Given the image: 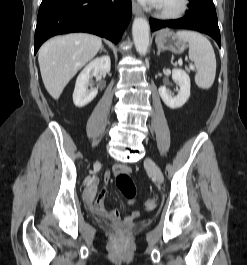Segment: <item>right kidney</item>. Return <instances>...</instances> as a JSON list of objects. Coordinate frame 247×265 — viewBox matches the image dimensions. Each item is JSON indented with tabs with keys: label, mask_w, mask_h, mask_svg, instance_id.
Listing matches in <instances>:
<instances>
[{
	"label": "right kidney",
	"mask_w": 247,
	"mask_h": 265,
	"mask_svg": "<svg viewBox=\"0 0 247 265\" xmlns=\"http://www.w3.org/2000/svg\"><path fill=\"white\" fill-rule=\"evenodd\" d=\"M111 60L109 56H101L91 61L79 74L73 92V102L76 107H84L89 104L98 94V89H88L90 78L99 73H109Z\"/></svg>",
	"instance_id": "ca27d5eb"
}]
</instances>
